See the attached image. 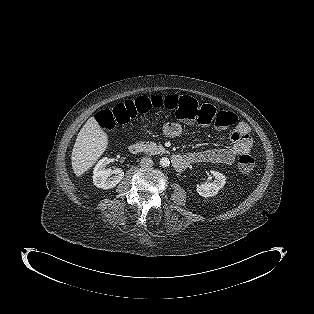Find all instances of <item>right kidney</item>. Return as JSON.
<instances>
[{
  "label": "right kidney",
  "mask_w": 314,
  "mask_h": 314,
  "mask_svg": "<svg viewBox=\"0 0 314 314\" xmlns=\"http://www.w3.org/2000/svg\"><path fill=\"white\" fill-rule=\"evenodd\" d=\"M111 162L107 157L102 158L95 166L93 171V183L97 188L111 189L114 188L124 177L121 169L111 170L106 166ZM114 173L115 176H111Z\"/></svg>",
  "instance_id": "obj_1"
}]
</instances>
